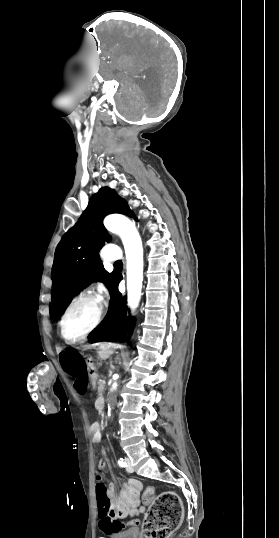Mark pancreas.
Returning a JSON list of instances; mask_svg holds the SVG:
<instances>
[{
	"label": "pancreas",
	"instance_id": "1",
	"mask_svg": "<svg viewBox=\"0 0 279 538\" xmlns=\"http://www.w3.org/2000/svg\"><path fill=\"white\" fill-rule=\"evenodd\" d=\"M98 384L100 385L99 396L104 397L106 395V387H107L106 381L104 379H100L98 381Z\"/></svg>",
	"mask_w": 279,
	"mask_h": 538
}]
</instances>
